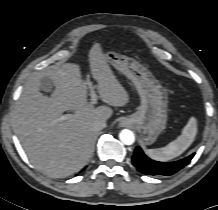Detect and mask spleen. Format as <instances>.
<instances>
[{"mask_svg":"<svg viewBox=\"0 0 218 210\" xmlns=\"http://www.w3.org/2000/svg\"><path fill=\"white\" fill-rule=\"evenodd\" d=\"M197 134V121L191 117L183 128L182 134L168 145L157 149H148L146 153L154 160L166 162L181 155L194 141Z\"/></svg>","mask_w":218,"mask_h":210,"instance_id":"3e777b00","label":"spleen"}]
</instances>
